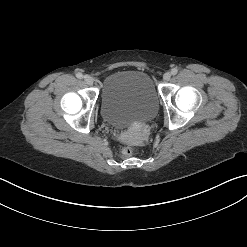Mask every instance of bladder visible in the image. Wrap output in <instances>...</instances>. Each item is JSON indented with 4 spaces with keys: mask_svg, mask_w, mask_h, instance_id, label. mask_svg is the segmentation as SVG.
Segmentation results:
<instances>
[{
    "mask_svg": "<svg viewBox=\"0 0 247 247\" xmlns=\"http://www.w3.org/2000/svg\"><path fill=\"white\" fill-rule=\"evenodd\" d=\"M158 106L157 89L145 72H115L102 83V118L119 130L151 122L157 115Z\"/></svg>",
    "mask_w": 247,
    "mask_h": 247,
    "instance_id": "bladder-1",
    "label": "bladder"
}]
</instances>
